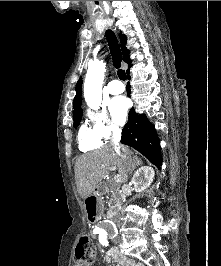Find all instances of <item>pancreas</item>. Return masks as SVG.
I'll list each match as a JSON object with an SVG mask.
<instances>
[{
  "instance_id": "1",
  "label": "pancreas",
  "mask_w": 221,
  "mask_h": 266,
  "mask_svg": "<svg viewBox=\"0 0 221 266\" xmlns=\"http://www.w3.org/2000/svg\"><path fill=\"white\" fill-rule=\"evenodd\" d=\"M110 191L112 193L111 201L114 203V205L110 207V211H116L119 209V207L122 203L123 196L120 195L116 189L111 188Z\"/></svg>"
}]
</instances>
